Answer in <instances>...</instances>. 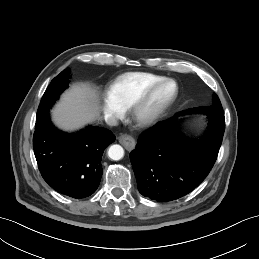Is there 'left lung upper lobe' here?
Wrapping results in <instances>:
<instances>
[{"label": "left lung upper lobe", "instance_id": "1", "mask_svg": "<svg viewBox=\"0 0 259 259\" xmlns=\"http://www.w3.org/2000/svg\"><path fill=\"white\" fill-rule=\"evenodd\" d=\"M213 99H214V102L212 106L198 107V108H193L191 110L194 112H201L208 115L223 116L224 112L218 96L215 94Z\"/></svg>", "mask_w": 259, "mask_h": 259}]
</instances>
